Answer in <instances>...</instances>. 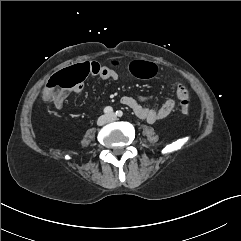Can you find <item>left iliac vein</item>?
<instances>
[{
    "label": "left iliac vein",
    "mask_w": 241,
    "mask_h": 241,
    "mask_svg": "<svg viewBox=\"0 0 241 241\" xmlns=\"http://www.w3.org/2000/svg\"><path fill=\"white\" fill-rule=\"evenodd\" d=\"M109 119L110 120H115V114L114 113L109 114Z\"/></svg>",
    "instance_id": "4c4485c4"
}]
</instances>
